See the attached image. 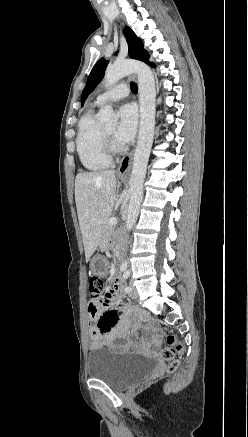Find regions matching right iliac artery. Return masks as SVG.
Instances as JSON below:
<instances>
[{"mask_svg": "<svg viewBox=\"0 0 248 437\" xmlns=\"http://www.w3.org/2000/svg\"><path fill=\"white\" fill-rule=\"evenodd\" d=\"M126 268H127V263L126 262H124L123 264H122V266H121V268H120V270L123 272V271H125L126 270Z\"/></svg>", "mask_w": 248, "mask_h": 437, "instance_id": "1", "label": "right iliac artery"}]
</instances>
